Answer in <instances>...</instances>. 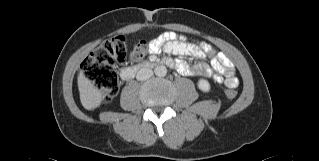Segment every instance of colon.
<instances>
[{"label":"colon","instance_id":"colon-1","mask_svg":"<svg viewBox=\"0 0 319 161\" xmlns=\"http://www.w3.org/2000/svg\"><path fill=\"white\" fill-rule=\"evenodd\" d=\"M147 54L145 42L134 45L129 59L132 62L142 61ZM128 57L127 43L124 37L116 36L104 41L92 51L83 63V72L88 81L101 92L105 101H110L118 92L119 81L115 66ZM225 95L234 98L237 95L234 83L225 88Z\"/></svg>","mask_w":319,"mask_h":161}]
</instances>
